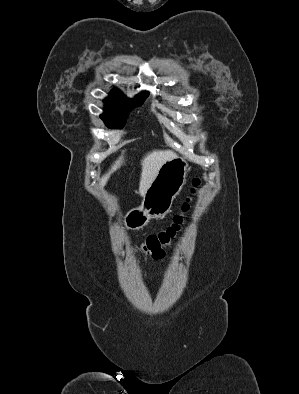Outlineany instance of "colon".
Listing matches in <instances>:
<instances>
[{
	"label": "colon",
	"instance_id": "obj_1",
	"mask_svg": "<svg viewBox=\"0 0 299 394\" xmlns=\"http://www.w3.org/2000/svg\"><path fill=\"white\" fill-rule=\"evenodd\" d=\"M201 185V179L195 178L190 189L189 196L182 204L181 212L173 218L169 226L158 233L149 235L145 240L135 247L138 253H142L153 258H160L165 254L166 249L171 245L173 240L179 235L185 221V214L190 208L192 197L196 194Z\"/></svg>",
	"mask_w": 299,
	"mask_h": 394
}]
</instances>
